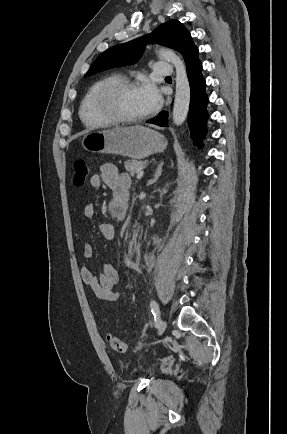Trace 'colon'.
<instances>
[{"label": "colon", "instance_id": "5ec220e1", "mask_svg": "<svg viewBox=\"0 0 287 434\" xmlns=\"http://www.w3.org/2000/svg\"><path fill=\"white\" fill-rule=\"evenodd\" d=\"M74 176L73 183L76 186H82L85 184L88 176H89V168L84 160H76L73 165ZM107 342L111 349L118 353H124L127 350L126 343L120 339L119 337L108 334Z\"/></svg>", "mask_w": 287, "mask_h": 434}]
</instances>
